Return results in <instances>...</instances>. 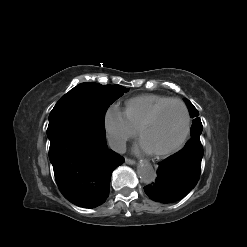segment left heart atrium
<instances>
[{"label":"left heart atrium","mask_w":247,"mask_h":247,"mask_svg":"<svg viewBox=\"0 0 247 247\" xmlns=\"http://www.w3.org/2000/svg\"><path fill=\"white\" fill-rule=\"evenodd\" d=\"M135 151L136 152H146V153L151 152V150L147 147V145L142 140L136 146Z\"/></svg>","instance_id":"obj_1"}]
</instances>
